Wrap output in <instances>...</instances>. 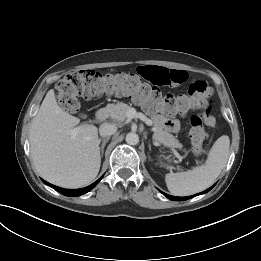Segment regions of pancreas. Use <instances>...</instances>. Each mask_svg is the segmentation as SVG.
Wrapping results in <instances>:
<instances>
[{"label": "pancreas", "instance_id": "1", "mask_svg": "<svg viewBox=\"0 0 261 261\" xmlns=\"http://www.w3.org/2000/svg\"><path fill=\"white\" fill-rule=\"evenodd\" d=\"M130 108L131 107L128 104L122 102L117 104H109L106 106L110 117L119 123L123 122L127 118V112ZM153 124V139L155 141H158L168 147L182 148V145L178 142V140L172 134L163 130L162 126L158 122L154 121Z\"/></svg>", "mask_w": 261, "mask_h": 261}]
</instances>
